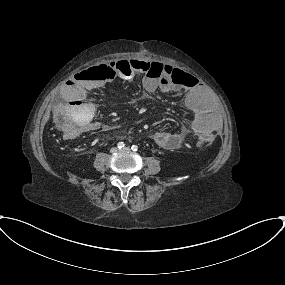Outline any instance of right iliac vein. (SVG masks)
Instances as JSON below:
<instances>
[{"label":"right iliac vein","instance_id":"1","mask_svg":"<svg viewBox=\"0 0 285 285\" xmlns=\"http://www.w3.org/2000/svg\"><path fill=\"white\" fill-rule=\"evenodd\" d=\"M116 151H117V148H115V147H113V148L110 149V152H111V153H115Z\"/></svg>","mask_w":285,"mask_h":285}]
</instances>
